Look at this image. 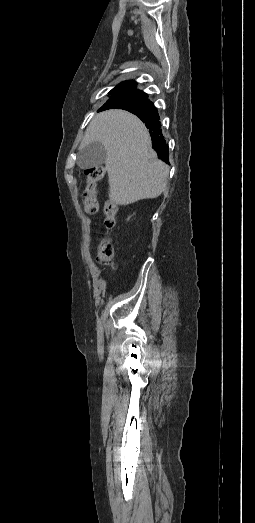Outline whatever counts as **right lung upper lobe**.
I'll list each match as a JSON object with an SVG mask.
<instances>
[{
	"label": "right lung upper lobe",
	"instance_id": "right-lung-upper-lobe-1",
	"mask_svg": "<svg viewBox=\"0 0 255 523\" xmlns=\"http://www.w3.org/2000/svg\"><path fill=\"white\" fill-rule=\"evenodd\" d=\"M137 83L134 81H125L116 86L111 92H120L128 90H136ZM119 108L127 110L138 116L149 129L152 139V147L157 152L158 158L166 163H169V149L160 129L159 116L157 109L148 99L144 102H121L108 100L99 111Z\"/></svg>",
	"mask_w": 255,
	"mask_h": 523
}]
</instances>
